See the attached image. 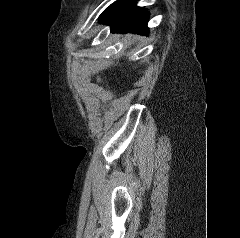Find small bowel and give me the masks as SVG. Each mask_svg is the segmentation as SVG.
<instances>
[{
	"label": "small bowel",
	"instance_id": "1",
	"mask_svg": "<svg viewBox=\"0 0 240 238\" xmlns=\"http://www.w3.org/2000/svg\"><path fill=\"white\" fill-rule=\"evenodd\" d=\"M98 92H99V93H101V94H104V92H103V91H101V90H98Z\"/></svg>",
	"mask_w": 240,
	"mask_h": 238
}]
</instances>
